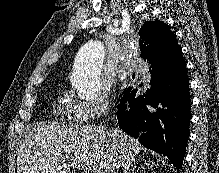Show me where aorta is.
Instances as JSON below:
<instances>
[{
	"instance_id": "obj_1",
	"label": "aorta",
	"mask_w": 219,
	"mask_h": 173,
	"mask_svg": "<svg viewBox=\"0 0 219 173\" xmlns=\"http://www.w3.org/2000/svg\"><path fill=\"white\" fill-rule=\"evenodd\" d=\"M104 56V46L98 40L87 42L79 50L72 84L80 98L91 99L100 94Z\"/></svg>"
}]
</instances>
